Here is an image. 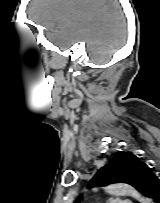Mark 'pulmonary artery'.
I'll use <instances>...</instances> for the list:
<instances>
[{
  "instance_id": "1",
  "label": "pulmonary artery",
  "mask_w": 160,
  "mask_h": 203,
  "mask_svg": "<svg viewBox=\"0 0 160 203\" xmlns=\"http://www.w3.org/2000/svg\"><path fill=\"white\" fill-rule=\"evenodd\" d=\"M116 203H132L130 200H117Z\"/></svg>"
}]
</instances>
